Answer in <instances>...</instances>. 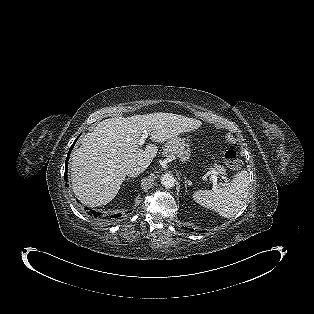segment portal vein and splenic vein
Here are the masks:
<instances>
[{
  "instance_id": "portal-vein-and-splenic-vein-1",
  "label": "portal vein and splenic vein",
  "mask_w": 314,
  "mask_h": 314,
  "mask_svg": "<svg viewBox=\"0 0 314 314\" xmlns=\"http://www.w3.org/2000/svg\"><path fill=\"white\" fill-rule=\"evenodd\" d=\"M148 137V132L144 131L142 137L140 138L138 144L139 145H143L145 143V140ZM209 173L211 174V180L213 182V187L217 188V172L215 170H211L209 171ZM227 181V179L225 178V182Z\"/></svg>"
}]
</instances>
